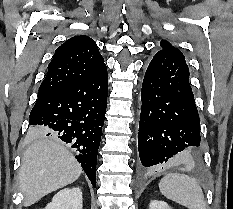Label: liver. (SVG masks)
Segmentation results:
<instances>
[{
	"label": "liver",
	"instance_id": "6515ba94",
	"mask_svg": "<svg viewBox=\"0 0 233 209\" xmlns=\"http://www.w3.org/2000/svg\"><path fill=\"white\" fill-rule=\"evenodd\" d=\"M46 133L40 127L30 128V134L38 139L24 152L19 172L25 207L73 183L82 173L72 153L60 141L44 137Z\"/></svg>",
	"mask_w": 233,
	"mask_h": 209
}]
</instances>
